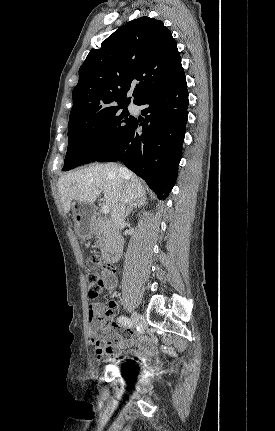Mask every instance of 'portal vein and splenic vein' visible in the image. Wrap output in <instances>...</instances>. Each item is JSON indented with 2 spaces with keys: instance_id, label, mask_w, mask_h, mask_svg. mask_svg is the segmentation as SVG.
Wrapping results in <instances>:
<instances>
[{
  "instance_id": "1",
  "label": "portal vein and splenic vein",
  "mask_w": 275,
  "mask_h": 431,
  "mask_svg": "<svg viewBox=\"0 0 275 431\" xmlns=\"http://www.w3.org/2000/svg\"><path fill=\"white\" fill-rule=\"evenodd\" d=\"M109 211H110V209H109V206H108V205H103V206L101 207V212H102L103 214H108V213H109Z\"/></svg>"
}]
</instances>
